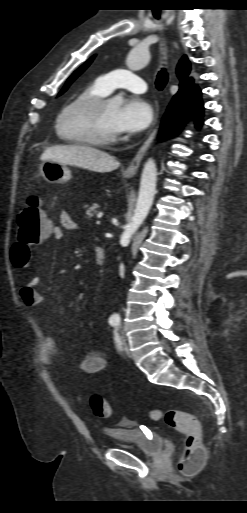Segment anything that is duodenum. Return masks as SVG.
I'll use <instances>...</instances> for the list:
<instances>
[{
    "label": "duodenum",
    "instance_id": "410a0bca",
    "mask_svg": "<svg viewBox=\"0 0 247 513\" xmlns=\"http://www.w3.org/2000/svg\"><path fill=\"white\" fill-rule=\"evenodd\" d=\"M106 253L101 245L95 247V262L97 265H103L105 262Z\"/></svg>",
    "mask_w": 247,
    "mask_h": 513
}]
</instances>
